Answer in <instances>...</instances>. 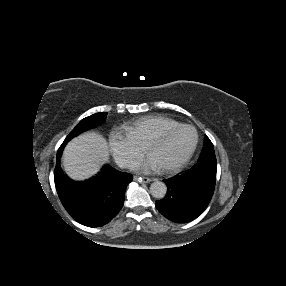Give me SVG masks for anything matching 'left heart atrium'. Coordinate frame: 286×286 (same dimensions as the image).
Returning <instances> with one entry per match:
<instances>
[{"instance_id":"1","label":"left heart atrium","mask_w":286,"mask_h":286,"mask_svg":"<svg viewBox=\"0 0 286 286\" xmlns=\"http://www.w3.org/2000/svg\"><path fill=\"white\" fill-rule=\"evenodd\" d=\"M160 167L161 166L159 165V163L151 156V154L140 157L132 163V168L138 172L156 170Z\"/></svg>"}]
</instances>
